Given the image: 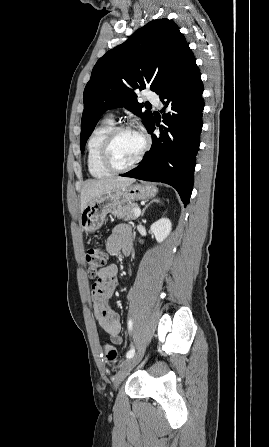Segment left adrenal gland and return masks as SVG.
Returning a JSON list of instances; mask_svg holds the SVG:
<instances>
[{
    "mask_svg": "<svg viewBox=\"0 0 269 447\" xmlns=\"http://www.w3.org/2000/svg\"><path fill=\"white\" fill-rule=\"evenodd\" d=\"M152 202H159V200H152ZM152 202H149V204H147V206H145V208H143L141 216H144L145 210H147L148 206H150V204H152Z\"/></svg>",
    "mask_w": 269,
    "mask_h": 447,
    "instance_id": "a2214340",
    "label": "left adrenal gland"
}]
</instances>
